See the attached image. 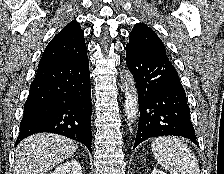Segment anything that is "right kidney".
I'll use <instances>...</instances> for the list:
<instances>
[{
  "mask_svg": "<svg viewBox=\"0 0 224 174\" xmlns=\"http://www.w3.org/2000/svg\"><path fill=\"white\" fill-rule=\"evenodd\" d=\"M50 174H83V173L80 163L77 160L72 159L56 167L55 170Z\"/></svg>",
  "mask_w": 224,
  "mask_h": 174,
  "instance_id": "1",
  "label": "right kidney"
}]
</instances>
